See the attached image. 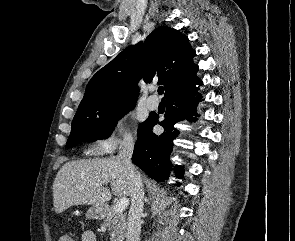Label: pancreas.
Masks as SVG:
<instances>
[{"instance_id": "1", "label": "pancreas", "mask_w": 295, "mask_h": 241, "mask_svg": "<svg viewBox=\"0 0 295 241\" xmlns=\"http://www.w3.org/2000/svg\"><path fill=\"white\" fill-rule=\"evenodd\" d=\"M103 226L111 232V241H123L126 231V220L123 213L116 212L109 207L104 215Z\"/></svg>"}]
</instances>
